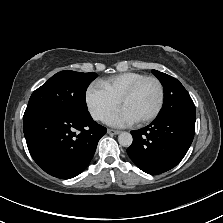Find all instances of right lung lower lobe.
<instances>
[{
	"label": "right lung lower lobe",
	"mask_w": 223,
	"mask_h": 223,
	"mask_svg": "<svg viewBox=\"0 0 223 223\" xmlns=\"http://www.w3.org/2000/svg\"><path fill=\"white\" fill-rule=\"evenodd\" d=\"M23 127L34 161L46 173L61 179L73 178L88 166L98 141L106 133V128L91 116L66 114L27 118Z\"/></svg>",
	"instance_id": "98d812e1"
}]
</instances>
